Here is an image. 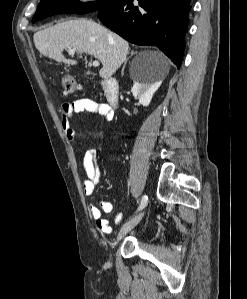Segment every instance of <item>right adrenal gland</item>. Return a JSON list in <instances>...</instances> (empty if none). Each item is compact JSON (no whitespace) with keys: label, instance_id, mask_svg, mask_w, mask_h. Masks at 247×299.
Here are the masks:
<instances>
[{"label":"right adrenal gland","instance_id":"right-adrenal-gland-1","mask_svg":"<svg viewBox=\"0 0 247 299\" xmlns=\"http://www.w3.org/2000/svg\"><path fill=\"white\" fill-rule=\"evenodd\" d=\"M136 53H137V52L131 51L130 56L125 60V63H124V66H123V70H124V68H125V65H126L128 59H129L132 55H134V54H136ZM123 70H122V71H123Z\"/></svg>","mask_w":247,"mask_h":299}]
</instances>
